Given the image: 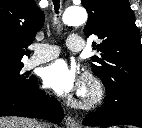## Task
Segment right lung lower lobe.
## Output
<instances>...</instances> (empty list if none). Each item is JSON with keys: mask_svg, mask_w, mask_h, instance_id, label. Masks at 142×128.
Wrapping results in <instances>:
<instances>
[{"mask_svg": "<svg viewBox=\"0 0 142 128\" xmlns=\"http://www.w3.org/2000/svg\"><path fill=\"white\" fill-rule=\"evenodd\" d=\"M0 116H27L60 124L64 113L57 99L40 91L36 79L33 86L25 92L0 95Z\"/></svg>", "mask_w": 142, "mask_h": 128, "instance_id": "98d812e1", "label": "right lung lower lobe"}]
</instances>
